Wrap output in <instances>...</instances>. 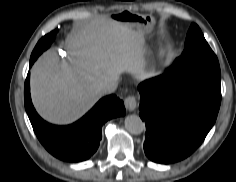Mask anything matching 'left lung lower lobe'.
I'll return each instance as SVG.
<instances>
[{
    "label": "left lung lower lobe",
    "instance_id": "1",
    "mask_svg": "<svg viewBox=\"0 0 236 182\" xmlns=\"http://www.w3.org/2000/svg\"><path fill=\"white\" fill-rule=\"evenodd\" d=\"M169 71L138 86L144 152L161 164L183 160L200 146L221 102L220 80Z\"/></svg>",
    "mask_w": 236,
    "mask_h": 182
}]
</instances>
